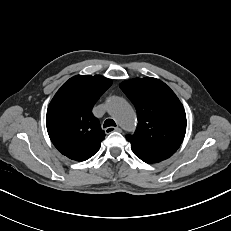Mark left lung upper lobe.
<instances>
[{
  "label": "left lung upper lobe",
  "mask_w": 231,
  "mask_h": 231,
  "mask_svg": "<svg viewBox=\"0 0 231 231\" xmlns=\"http://www.w3.org/2000/svg\"><path fill=\"white\" fill-rule=\"evenodd\" d=\"M137 110L138 126L126 139L137 157L165 160L180 147L186 114L175 93L159 79L135 78L120 84Z\"/></svg>",
  "instance_id": "obj_1"
}]
</instances>
